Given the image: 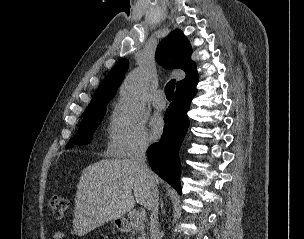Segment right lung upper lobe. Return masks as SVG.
<instances>
[{
  "instance_id": "1",
  "label": "right lung upper lobe",
  "mask_w": 304,
  "mask_h": 239,
  "mask_svg": "<svg viewBox=\"0 0 304 239\" xmlns=\"http://www.w3.org/2000/svg\"><path fill=\"white\" fill-rule=\"evenodd\" d=\"M191 54V45L179 29L171 32L157 47L155 57L158 63L168 68H180L186 73V77L177 82V88L197 76L196 65L191 60ZM167 56L171 57L173 64L168 62ZM128 64L127 59H121L116 63L96 90L85 111L104 106L115 96L123 81Z\"/></svg>"
}]
</instances>
